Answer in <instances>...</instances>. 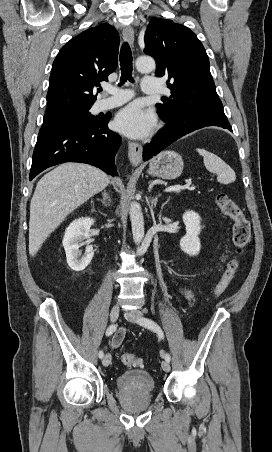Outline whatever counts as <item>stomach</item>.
<instances>
[{"label":"stomach","mask_w":272,"mask_h":452,"mask_svg":"<svg viewBox=\"0 0 272 452\" xmlns=\"http://www.w3.org/2000/svg\"><path fill=\"white\" fill-rule=\"evenodd\" d=\"M183 166L182 157L178 153L166 150L150 161L148 174L154 177L172 180L181 175Z\"/></svg>","instance_id":"0dacf381"}]
</instances>
